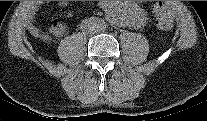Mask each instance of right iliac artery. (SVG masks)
<instances>
[{
    "label": "right iliac artery",
    "mask_w": 207,
    "mask_h": 121,
    "mask_svg": "<svg viewBox=\"0 0 207 121\" xmlns=\"http://www.w3.org/2000/svg\"><path fill=\"white\" fill-rule=\"evenodd\" d=\"M91 21H92L93 23H95V24H97V23L100 22V20H99L98 18H96V17H92V18H91Z\"/></svg>",
    "instance_id": "obj_1"
}]
</instances>
